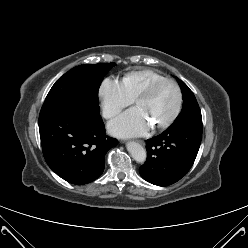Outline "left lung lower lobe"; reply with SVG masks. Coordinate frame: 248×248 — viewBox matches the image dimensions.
Instances as JSON below:
<instances>
[{"mask_svg": "<svg viewBox=\"0 0 248 248\" xmlns=\"http://www.w3.org/2000/svg\"><path fill=\"white\" fill-rule=\"evenodd\" d=\"M202 139V126L168 128L146 141L147 160L139 168L143 179L158 186L171 185L192 167Z\"/></svg>", "mask_w": 248, "mask_h": 248, "instance_id": "obj_1", "label": "left lung lower lobe"}]
</instances>
